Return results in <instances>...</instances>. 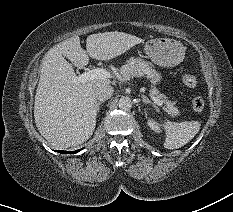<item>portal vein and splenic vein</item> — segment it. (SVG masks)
<instances>
[{
    "instance_id": "1",
    "label": "portal vein and splenic vein",
    "mask_w": 233,
    "mask_h": 212,
    "mask_svg": "<svg viewBox=\"0 0 233 212\" xmlns=\"http://www.w3.org/2000/svg\"><path fill=\"white\" fill-rule=\"evenodd\" d=\"M105 78H110V73L106 69L96 68L86 71L79 76H76L72 81L74 83H86L88 81H92L95 79H105ZM151 97L156 105L161 106L163 104L158 97L154 95H151Z\"/></svg>"
}]
</instances>
